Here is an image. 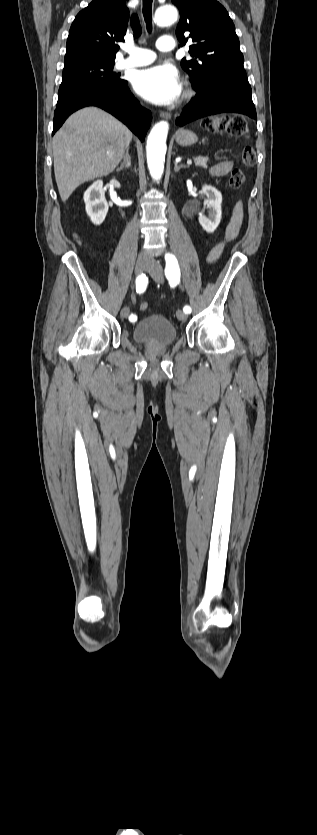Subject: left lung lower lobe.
I'll use <instances>...</instances> for the list:
<instances>
[{
    "instance_id": "obj_1",
    "label": "left lung lower lobe",
    "mask_w": 317,
    "mask_h": 835,
    "mask_svg": "<svg viewBox=\"0 0 317 835\" xmlns=\"http://www.w3.org/2000/svg\"><path fill=\"white\" fill-rule=\"evenodd\" d=\"M193 88L196 96L177 118L179 126L218 113H238L257 119L245 70L219 69L207 82Z\"/></svg>"
}]
</instances>
